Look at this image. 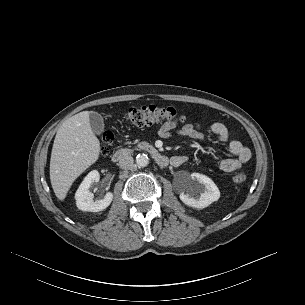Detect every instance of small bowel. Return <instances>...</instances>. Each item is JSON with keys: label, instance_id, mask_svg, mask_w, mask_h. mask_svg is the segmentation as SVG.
I'll list each match as a JSON object with an SVG mask.
<instances>
[{"label": "small bowel", "instance_id": "c3829d8e", "mask_svg": "<svg viewBox=\"0 0 305 305\" xmlns=\"http://www.w3.org/2000/svg\"><path fill=\"white\" fill-rule=\"evenodd\" d=\"M210 131L218 140L227 145L228 151L234 158L224 159L219 163V169L223 172H234L241 168L251 158L250 150L237 140H230L228 128L220 122L211 124ZM158 135L162 138H170L173 135L189 137L195 140H203L205 135L199 124H184L178 127V122L164 123L158 129ZM188 161L185 155H177L171 158L173 166H180Z\"/></svg>", "mask_w": 305, "mask_h": 305}]
</instances>
